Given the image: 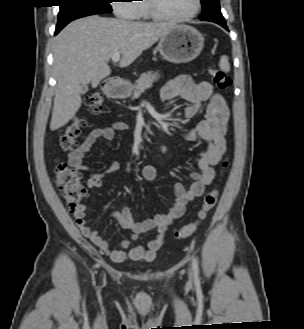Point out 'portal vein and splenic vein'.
<instances>
[{"mask_svg":"<svg viewBox=\"0 0 304 329\" xmlns=\"http://www.w3.org/2000/svg\"><path fill=\"white\" fill-rule=\"evenodd\" d=\"M111 59H112V61H113L114 63L119 62V60H120V53H114V54L112 55Z\"/></svg>","mask_w":304,"mask_h":329,"instance_id":"18ae733b","label":"portal vein and splenic vein"}]
</instances>
